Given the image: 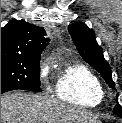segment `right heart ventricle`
<instances>
[{"instance_id":"obj_1","label":"right heart ventricle","mask_w":122,"mask_h":123,"mask_svg":"<svg viewBox=\"0 0 122 123\" xmlns=\"http://www.w3.org/2000/svg\"><path fill=\"white\" fill-rule=\"evenodd\" d=\"M54 96L71 105L95 107L104 93L97 75L86 65L74 63L57 72Z\"/></svg>"}]
</instances>
